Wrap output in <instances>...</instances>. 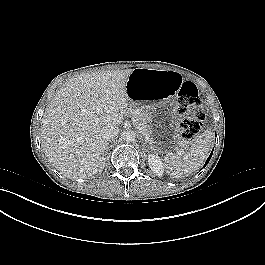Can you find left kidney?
Instances as JSON below:
<instances>
[{
	"mask_svg": "<svg viewBox=\"0 0 265 265\" xmlns=\"http://www.w3.org/2000/svg\"><path fill=\"white\" fill-rule=\"evenodd\" d=\"M148 164L151 170L158 176L163 174V163L157 154H150L148 156Z\"/></svg>",
	"mask_w": 265,
	"mask_h": 265,
	"instance_id": "5707ae66",
	"label": "left kidney"
}]
</instances>
